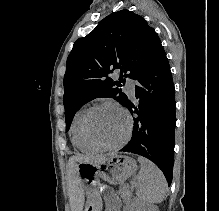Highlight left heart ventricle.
Instances as JSON below:
<instances>
[{
	"label": "left heart ventricle",
	"mask_w": 219,
	"mask_h": 211,
	"mask_svg": "<svg viewBox=\"0 0 219 211\" xmlns=\"http://www.w3.org/2000/svg\"><path fill=\"white\" fill-rule=\"evenodd\" d=\"M126 127L125 116L111 106H102L94 110L89 121L92 137L104 144L117 143L125 134Z\"/></svg>",
	"instance_id": "left-heart-ventricle-1"
}]
</instances>
